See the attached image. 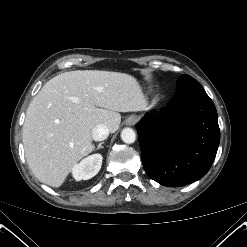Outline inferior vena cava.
Wrapping results in <instances>:
<instances>
[{"label": "inferior vena cava", "mask_w": 247, "mask_h": 247, "mask_svg": "<svg viewBox=\"0 0 247 247\" xmlns=\"http://www.w3.org/2000/svg\"><path fill=\"white\" fill-rule=\"evenodd\" d=\"M109 135V128L105 124L97 125L92 132V138L95 141L105 140Z\"/></svg>", "instance_id": "1"}]
</instances>
